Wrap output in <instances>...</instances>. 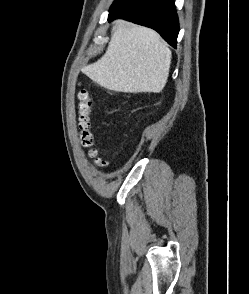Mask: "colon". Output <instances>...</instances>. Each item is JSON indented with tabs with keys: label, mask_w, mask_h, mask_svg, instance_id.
Returning a JSON list of instances; mask_svg holds the SVG:
<instances>
[{
	"label": "colon",
	"mask_w": 249,
	"mask_h": 294,
	"mask_svg": "<svg viewBox=\"0 0 249 294\" xmlns=\"http://www.w3.org/2000/svg\"><path fill=\"white\" fill-rule=\"evenodd\" d=\"M93 102L90 93L86 89H81L78 93V123L81 133V141L84 146H91L93 144V136L90 131L92 120ZM91 155L96 156V151H92ZM104 165V162H100Z\"/></svg>",
	"instance_id": "1"
}]
</instances>
